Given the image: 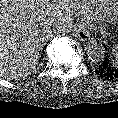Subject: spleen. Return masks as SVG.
<instances>
[{
    "label": "spleen",
    "instance_id": "1",
    "mask_svg": "<svg viewBox=\"0 0 118 118\" xmlns=\"http://www.w3.org/2000/svg\"><path fill=\"white\" fill-rule=\"evenodd\" d=\"M112 54L114 56V59L116 61V64H118V44H116L115 46H113V48H112Z\"/></svg>",
    "mask_w": 118,
    "mask_h": 118
}]
</instances>
